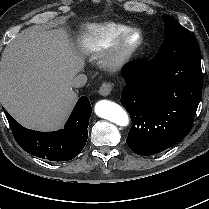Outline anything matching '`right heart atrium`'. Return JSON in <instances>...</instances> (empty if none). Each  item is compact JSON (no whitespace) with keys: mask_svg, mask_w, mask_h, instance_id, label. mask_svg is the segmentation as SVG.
<instances>
[{"mask_svg":"<svg viewBox=\"0 0 209 209\" xmlns=\"http://www.w3.org/2000/svg\"><path fill=\"white\" fill-rule=\"evenodd\" d=\"M76 73V69L71 67L66 73V80H70Z\"/></svg>","mask_w":209,"mask_h":209,"instance_id":"obj_1","label":"right heart atrium"}]
</instances>
